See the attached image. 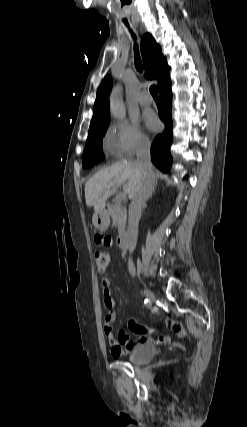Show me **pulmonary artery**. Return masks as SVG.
Here are the masks:
<instances>
[{"label":"pulmonary artery","mask_w":247,"mask_h":427,"mask_svg":"<svg viewBox=\"0 0 247 427\" xmlns=\"http://www.w3.org/2000/svg\"><path fill=\"white\" fill-rule=\"evenodd\" d=\"M139 103L142 106H148L152 103V98L150 95L144 94L139 98Z\"/></svg>","instance_id":"e3ab8cb5"}]
</instances>
